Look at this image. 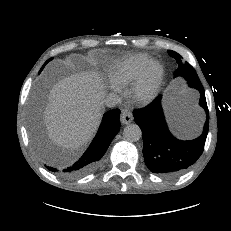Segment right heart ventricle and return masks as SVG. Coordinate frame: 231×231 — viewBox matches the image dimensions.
<instances>
[{
    "mask_svg": "<svg viewBox=\"0 0 231 231\" xmlns=\"http://www.w3.org/2000/svg\"><path fill=\"white\" fill-rule=\"evenodd\" d=\"M151 62L152 59L148 55H132L117 64L110 77L117 88H125L134 83Z\"/></svg>",
    "mask_w": 231,
    "mask_h": 231,
    "instance_id": "obj_1",
    "label": "right heart ventricle"
}]
</instances>
